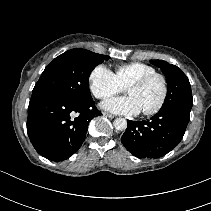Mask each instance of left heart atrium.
<instances>
[{
    "label": "left heart atrium",
    "mask_w": 211,
    "mask_h": 211,
    "mask_svg": "<svg viewBox=\"0 0 211 211\" xmlns=\"http://www.w3.org/2000/svg\"><path fill=\"white\" fill-rule=\"evenodd\" d=\"M101 107L112 113L127 116L137 115L141 112L138 102L132 96L109 98L102 102Z\"/></svg>",
    "instance_id": "left-heart-atrium-1"
}]
</instances>
